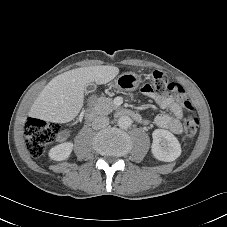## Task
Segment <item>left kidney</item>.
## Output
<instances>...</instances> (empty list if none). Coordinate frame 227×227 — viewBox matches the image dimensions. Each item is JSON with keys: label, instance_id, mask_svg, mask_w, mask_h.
<instances>
[{"label": "left kidney", "instance_id": "5707ae66", "mask_svg": "<svg viewBox=\"0 0 227 227\" xmlns=\"http://www.w3.org/2000/svg\"><path fill=\"white\" fill-rule=\"evenodd\" d=\"M152 138L151 151L156 159L172 162L181 155L180 143L171 132L156 129L152 133Z\"/></svg>", "mask_w": 227, "mask_h": 227}]
</instances>
